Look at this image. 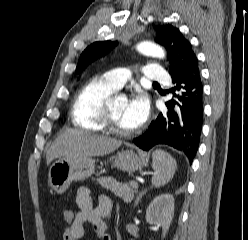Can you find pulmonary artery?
<instances>
[{
    "label": "pulmonary artery",
    "mask_w": 248,
    "mask_h": 240,
    "mask_svg": "<svg viewBox=\"0 0 248 240\" xmlns=\"http://www.w3.org/2000/svg\"><path fill=\"white\" fill-rule=\"evenodd\" d=\"M103 79L116 89L121 88L128 78L129 72L126 69H113L103 74ZM144 78L157 83H168V74L159 65L149 64L144 68Z\"/></svg>",
    "instance_id": "e3ab8cb5"
}]
</instances>
